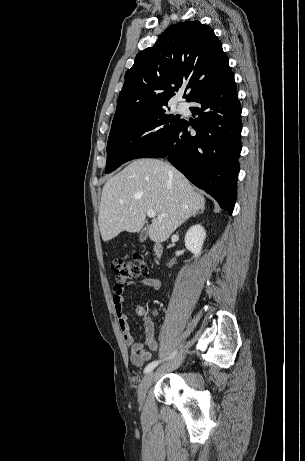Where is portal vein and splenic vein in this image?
Returning a JSON list of instances; mask_svg holds the SVG:
<instances>
[{
	"label": "portal vein and splenic vein",
	"mask_w": 305,
	"mask_h": 461,
	"mask_svg": "<svg viewBox=\"0 0 305 461\" xmlns=\"http://www.w3.org/2000/svg\"><path fill=\"white\" fill-rule=\"evenodd\" d=\"M147 216L150 217V218H154L156 216V212L154 210H148L147 211ZM164 216L165 215H159L158 218H162Z\"/></svg>",
	"instance_id": "portal-vein-and-splenic-vein-1"
}]
</instances>
